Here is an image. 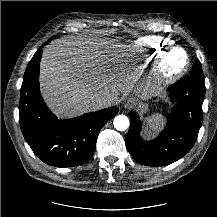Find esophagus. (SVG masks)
<instances>
[{
	"instance_id": "1",
	"label": "esophagus",
	"mask_w": 217,
	"mask_h": 217,
	"mask_svg": "<svg viewBox=\"0 0 217 217\" xmlns=\"http://www.w3.org/2000/svg\"><path fill=\"white\" fill-rule=\"evenodd\" d=\"M136 105V100L133 97H128L124 101V108L130 109Z\"/></svg>"
}]
</instances>
